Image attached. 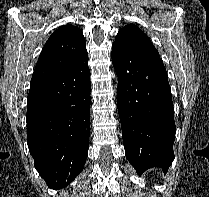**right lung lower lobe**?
Returning a JSON list of instances; mask_svg holds the SVG:
<instances>
[{"label": "right lung lower lobe", "mask_w": 209, "mask_h": 197, "mask_svg": "<svg viewBox=\"0 0 209 197\" xmlns=\"http://www.w3.org/2000/svg\"><path fill=\"white\" fill-rule=\"evenodd\" d=\"M27 143L48 186L61 189L83 169L89 148L88 54L46 79L30 84Z\"/></svg>", "instance_id": "right-lung-lower-lobe-1"}]
</instances>
